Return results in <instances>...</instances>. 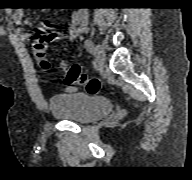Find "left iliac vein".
I'll return each instance as SVG.
<instances>
[{"mask_svg":"<svg viewBox=\"0 0 192 180\" xmlns=\"http://www.w3.org/2000/svg\"><path fill=\"white\" fill-rule=\"evenodd\" d=\"M96 63L99 68H103L105 65L106 52L102 45L97 44L94 49Z\"/></svg>","mask_w":192,"mask_h":180,"instance_id":"1","label":"left iliac vein"}]
</instances>
